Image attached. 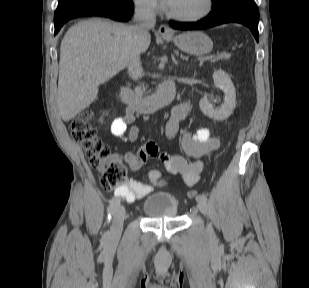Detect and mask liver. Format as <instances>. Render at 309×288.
I'll return each instance as SVG.
<instances>
[{
  "label": "liver",
  "mask_w": 309,
  "mask_h": 288,
  "mask_svg": "<svg viewBox=\"0 0 309 288\" xmlns=\"http://www.w3.org/2000/svg\"><path fill=\"white\" fill-rule=\"evenodd\" d=\"M148 33L139 44L131 27L103 19L81 21L65 34L60 47L56 105L69 121L97 97L98 87L118 74L133 50L147 51Z\"/></svg>",
  "instance_id": "obj_1"
}]
</instances>
